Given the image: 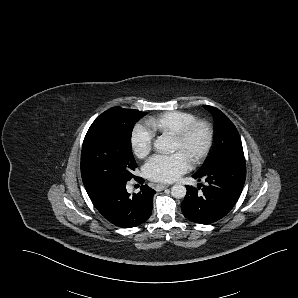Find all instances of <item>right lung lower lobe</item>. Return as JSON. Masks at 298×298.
Segmentation results:
<instances>
[{"label": "right lung lower lobe", "instance_id": "right-lung-lower-lobe-1", "mask_svg": "<svg viewBox=\"0 0 298 298\" xmlns=\"http://www.w3.org/2000/svg\"><path fill=\"white\" fill-rule=\"evenodd\" d=\"M86 191L101 215L122 228L135 227L149 219L153 208V195L156 193L147 185H142L139 193L130 195L126 190V183Z\"/></svg>", "mask_w": 298, "mask_h": 298}]
</instances>
